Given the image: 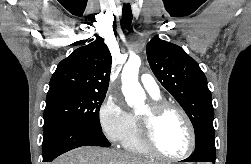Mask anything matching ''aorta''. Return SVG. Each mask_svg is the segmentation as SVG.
<instances>
[{"mask_svg":"<svg viewBox=\"0 0 251 164\" xmlns=\"http://www.w3.org/2000/svg\"><path fill=\"white\" fill-rule=\"evenodd\" d=\"M141 59L138 55H131L122 70V92L130 107L140 108L146 99L145 92L138 82V72Z\"/></svg>","mask_w":251,"mask_h":164,"instance_id":"aorta-1","label":"aorta"}]
</instances>
